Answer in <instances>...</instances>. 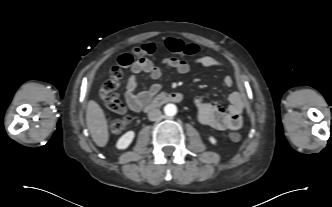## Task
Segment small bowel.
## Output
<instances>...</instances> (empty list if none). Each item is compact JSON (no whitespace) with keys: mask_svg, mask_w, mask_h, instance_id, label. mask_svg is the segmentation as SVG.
Here are the masks:
<instances>
[{"mask_svg":"<svg viewBox=\"0 0 332 207\" xmlns=\"http://www.w3.org/2000/svg\"><path fill=\"white\" fill-rule=\"evenodd\" d=\"M161 62L164 66L175 70L179 74H187L190 71V65L187 62L175 57H164ZM195 63L204 69L224 66L223 61L208 55L197 58ZM130 71L131 74L126 82L125 99L129 110L139 112L161 90L159 84L153 83L136 92L139 86V74L144 73L151 80H157L161 77L162 71L151 60L145 58L136 60ZM223 83L225 86L230 87L233 85L234 79L231 76H226ZM229 101L230 105L225 110L216 103L202 99L197 100L196 108L199 122L216 130L239 129L243 124L242 114L245 104L239 92L230 94ZM127 108L124 106V113Z\"/></svg>","mask_w":332,"mask_h":207,"instance_id":"obj_1","label":"small bowel"}]
</instances>
